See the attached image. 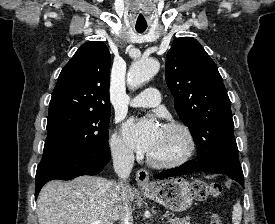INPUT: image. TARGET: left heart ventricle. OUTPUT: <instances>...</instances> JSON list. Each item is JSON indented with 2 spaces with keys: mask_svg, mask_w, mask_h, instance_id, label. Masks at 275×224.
<instances>
[{
  "mask_svg": "<svg viewBox=\"0 0 275 224\" xmlns=\"http://www.w3.org/2000/svg\"><path fill=\"white\" fill-rule=\"evenodd\" d=\"M184 148L185 142L182 135L176 130L163 127L161 137L149 155L156 160H170L178 157Z\"/></svg>",
  "mask_w": 275,
  "mask_h": 224,
  "instance_id": "1",
  "label": "left heart ventricle"
}]
</instances>
